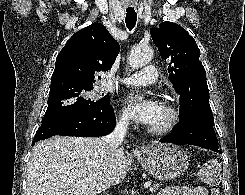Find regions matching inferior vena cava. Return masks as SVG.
<instances>
[{
    "label": "inferior vena cava",
    "instance_id": "obj_1",
    "mask_svg": "<svg viewBox=\"0 0 245 195\" xmlns=\"http://www.w3.org/2000/svg\"><path fill=\"white\" fill-rule=\"evenodd\" d=\"M128 118L122 117L116 123L114 130L103 138L104 142L108 145V155L111 156L114 154L115 151L120 149V145L122 144L124 137L127 133L128 127ZM110 186L105 187V190H109Z\"/></svg>",
    "mask_w": 245,
    "mask_h": 195
}]
</instances>
